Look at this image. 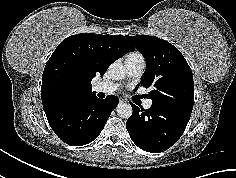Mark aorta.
Masks as SVG:
<instances>
[{"label":"aorta","instance_id":"obj_1","mask_svg":"<svg viewBox=\"0 0 236 178\" xmlns=\"http://www.w3.org/2000/svg\"><path fill=\"white\" fill-rule=\"evenodd\" d=\"M109 74L112 79L121 80L125 77V68L119 62H114L109 66ZM119 117L128 119L132 115V107L128 103H120L116 108Z\"/></svg>","mask_w":236,"mask_h":178}]
</instances>
